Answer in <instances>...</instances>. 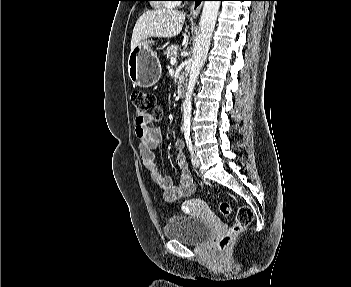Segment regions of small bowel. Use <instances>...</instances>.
<instances>
[{
    "instance_id": "c3829d8e",
    "label": "small bowel",
    "mask_w": 351,
    "mask_h": 287,
    "mask_svg": "<svg viewBox=\"0 0 351 287\" xmlns=\"http://www.w3.org/2000/svg\"><path fill=\"white\" fill-rule=\"evenodd\" d=\"M152 120L153 116L148 115L143 121L137 118L135 121V134L139 139V155L142 163L152 181L163 192L165 201L174 202L189 197L195 191V183L183 153L184 143L182 140H177L174 145L176 163L180 169L179 185L175 186L171 178L161 171L156 160L154 150L160 145L162 136L157 127L150 126Z\"/></svg>"
}]
</instances>
